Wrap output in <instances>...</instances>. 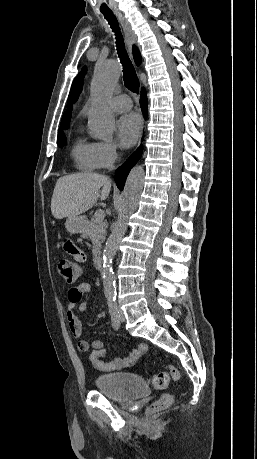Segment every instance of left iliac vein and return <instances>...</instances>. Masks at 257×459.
I'll return each mask as SVG.
<instances>
[{
    "label": "left iliac vein",
    "instance_id": "1",
    "mask_svg": "<svg viewBox=\"0 0 257 459\" xmlns=\"http://www.w3.org/2000/svg\"><path fill=\"white\" fill-rule=\"evenodd\" d=\"M119 319L121 322H124L125 321V315H124V312L119 309Z\"/></svg>",
    "mask_w": 257,
    "mask_h": 459
}]
</instances>
